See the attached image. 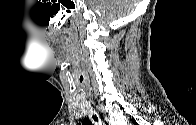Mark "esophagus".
<instances>
[{"instance_id":"esophagus-1","label":"esophagus","mask_w":196,"mask_h":125,"mask_svg":"<svg viewBox=\"0 0 196 125\" xmlns=\"http://www.w3.org/2000/svg\"><path fill=\"white\" fill-rule=\"evenodd\" d=\"M103 125H110L107 117H104Z\"/></svg>"}]
</instances>
